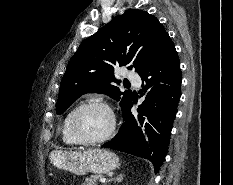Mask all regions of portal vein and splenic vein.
Returning <instances> with one entry per match:
<instances>
[{"label": "portal vein and splenic vein", "instance_id": "portal-vein-and-splenic-vein-1", "mask_svg": "<svg viewBox=\"0 0 233 185\" xmlns=\"http://www.w3.org/2000/svg\"><path fill=\"white\" fill-rule=\"evenodd\" d=\"M100 182H101V183H105V182H106V179H105V178H100Z\"/></svg>", "mask_w": 233, "mask_h": 185}]
</instances>
